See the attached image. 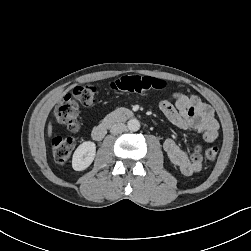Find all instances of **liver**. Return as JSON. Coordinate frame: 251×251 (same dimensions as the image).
Returning a JSON list of instances; mask_svg holds the SVG:
<instances>
[{
    "label": "liver",
    "instance_id": "6515ba94",
    "mask_svg": "<svg viewBox=\"0 0 251 251\" xmlns=\"http://www.w3.org/2000/svg\"><path fill=\"white\" fill-rule=\"evenodd\" d=\"M52 135V125L51 123L48 124V136L51 137Z\"/></svg>",
    "mask_w": 251,
    "mask_h": 251
}]
</instances>
